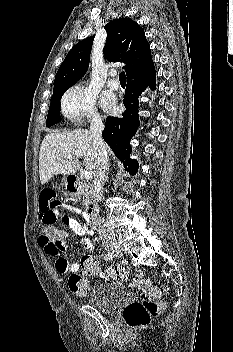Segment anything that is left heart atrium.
Listing matches in <instances>:
<instances>
[{
	"mask_svg": "<svg viewBox=\"0 0 233 352\" xmlns=\"http://www.w3.org/2000/svg\"><path fill=\"white\" fill-rule=\"evenodd\" d=\"M104 105L107 107V108H111L113 107L114 105V101L112 98L108 97L104 100Z\"/></svg>",
	"mask_w": 233,
	"mask_h": 352,
	"instance_id": "39dd6f15",
	"label": "left heart atrium"
}]
</instances>
